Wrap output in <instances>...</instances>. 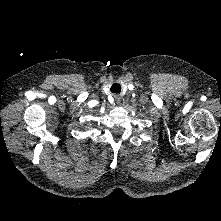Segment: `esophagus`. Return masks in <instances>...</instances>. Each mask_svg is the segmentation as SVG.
I'll return each instance as SVG.
<instances>
[{
  "mask_svg": "<svg viewBox=\"0 0 221 221\" xmlns=\"http://www.w3.org/2000/svg\"><path fill=\"white\" fill-rule=\"evenodd\" d=\"M114 99L116 100L117 103L120 101V96L119 95H113Z\"/></svg>",
  "mask_w": 221,
  "mask_h": 221,
  "instance_id": "1",
  "label": "esophagus"
}]
</instances>
